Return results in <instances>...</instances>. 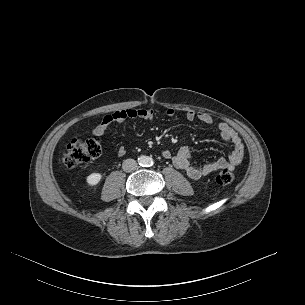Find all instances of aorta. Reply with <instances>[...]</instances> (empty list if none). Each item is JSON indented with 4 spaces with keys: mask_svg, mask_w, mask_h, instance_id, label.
I'll use <instances>...</instances> for the list:
<instances>
[{
    "mask_svg": "<svg viewBox=\"0 0 305 305\" xmlns=\"http://www.w3.org/2000/svg\"><path fill=\"white\" fill-rule=\"evenodd\" d=\"M138 162L142 166H147L151 163V159L148 156L142 155L138 158Z\"/></svg>",
    "mask_w": 305,
    "mask_h": 305,
    "instance_id": "aorta-1",
    "label": "aorta"
}]
</instances>
